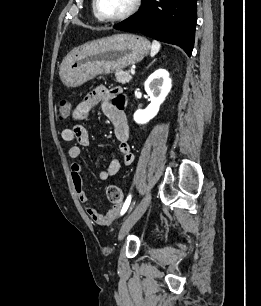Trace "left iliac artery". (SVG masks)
<instances>
[{"label": "left iliac artery", "instance_id": "44dca946", "mask_svg": "<svg viewBox=\"0 0 261 306\" xmlns=\"http://www.w3.org/2000/svg\"><path fill=\"white\" fill-rule=\"evenodd\" d=\"M130 202H131V195H129L122 207V210H121V215L125 214V212L127 211V209L129 208V205H130Z\"/></svg>", "mask_w": 261, "mask_h": 306}]
</instances>
